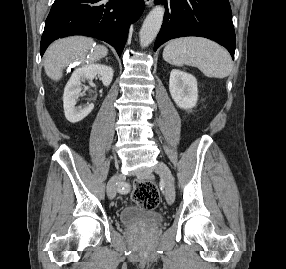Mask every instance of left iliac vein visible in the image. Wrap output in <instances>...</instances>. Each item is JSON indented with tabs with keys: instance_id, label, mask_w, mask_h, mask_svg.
Wrapping results in <instances>:
<instances>
[{
	"instance_id": "obj_1",
	"label": "left iliac vein",
	"mask_w": 286,
	"mask_h": 269,
	"mask_svg": "<svg viewBox=\"0 0 286 269\" xmlns=\"http://www.w3.org/2000/svg\"><path fill=\"white\" fill-rule=\"evenodd\" d=\"M156 173L162 178L165 185V197L168 204H172L175 200V188L173 183L172 174L168 166L159 162L155 169Z\"/></svg>"
}]
</instances>
